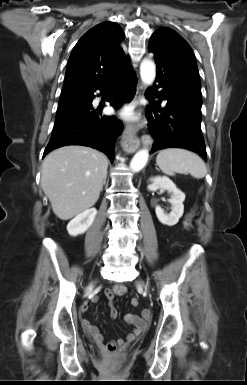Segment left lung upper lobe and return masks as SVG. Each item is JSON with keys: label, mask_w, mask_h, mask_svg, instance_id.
<instances>
[{"label": "left lung upper lobe", "mask_w": 247, "mask_h": 385, "mask_svg": "<svg viewBox=\"0 0 247 385\" xmlns=\"http://www.w3.org/2000/svg\"><path fill=\"white\" fill-rule=\"evenodd\" d=\"M150 41H154L189 77L200 85L194 53L182 37L171 29L161 28L152 34Z\"/></svg>", "instance_id": "1"}]
</instances>
